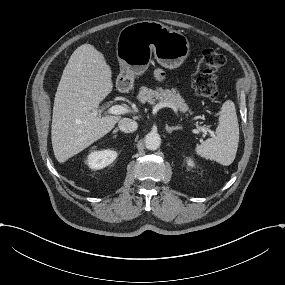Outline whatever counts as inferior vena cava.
Wrapping results in <instances>:
<instances>
[{
  "instance_id": "1",
  "label": "inferior vena cava",
  "mask_w": 285,
  "mask_h": 285,
  "mask_svg": "<svg viewBox=\"0 0 285 285\" xmlns=\"http://www.w3.org/2000/svg\"><path fill=\"white\" fill-rule=\"evenodd\" d=\"M118 127L125 133H131L137 129V123L132 119L124 118L119 121Z\"/></svg>"
}]
</instances>
